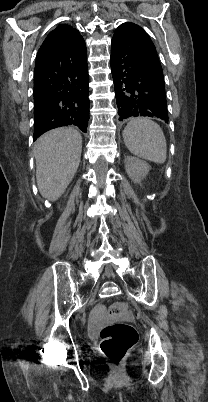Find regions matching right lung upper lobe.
Returning <instances> with one entry per match:
<instances>
[{
    "label": "right lung upper lobe",
    "instance_id": "obj_1",
    "mask_svg": "<svg viewBox=\"0 0 208 402\" xmlns=\"http://www.w3.org/2000/svg\"><path fill=\"white\" fill-rule=\"evenodd\" d=\"M78 36H80L78 30L67 24H61L48 34L41 45L38 54L65 47Z\"/></svg>",
    "mask_w": 208,
    "mask_h": 402
}]
</instances>
